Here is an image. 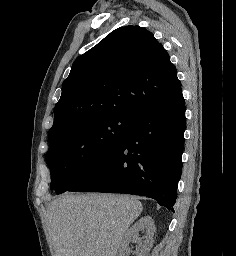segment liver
<instances>
[{
	"mask_svg": "<svg viewBox=\"0 0 236 256\" xmlns=\"http://www.w3.org/2000/svg\"><path fill=\"white\" fill-rule=\"evenodd\" d=\"M142 210L134 196H59L46 214L55 256H119L124 234Z\"/></svg>",
	"mask_w": 236,
	"mask_h": 256,
	"instance_id": "6515ba94",
	"label": "liver"
}]
</instances>
